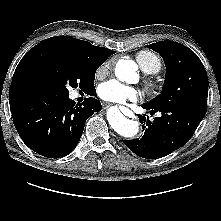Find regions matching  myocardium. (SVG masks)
I'll return each mask as SVG.
<instances>
[{"mask_svg":"<svg viewBox=\"0 0 221 221\" xmlns=\"http://www.w3.org/2000/svg\"><path fill=\"white\" fill-rule=\"evenodd\" d=\"M146 84L150 90L152 91L156 90V85L153 83L152 80L150 79L146 80Z\"/></svg>","mask_w":221,"mask_h":221,"instance_id":"obj_1","label":"myocardium"}]
</instances>
